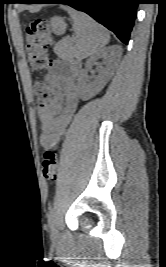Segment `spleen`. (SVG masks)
<instances>
[{
	"mask_svg": "<svg viewBox=\"0 0 166 267\" xmlns=\"http://www.w3.org/2000/svg\"><path fill=\"white\" fill-rule=\"evenodd\" d=\"M65 10L73 19V29L77 38L76 45L72 48L75 58L84 59L94 55L108 44L109 33L94 19L69 7Z\"/></svg>",
	"mask_w": 166,
	"mask_h": 267,
	"instance_id": "spleen-1",
	"label": "spleen"
}]
</instances>
